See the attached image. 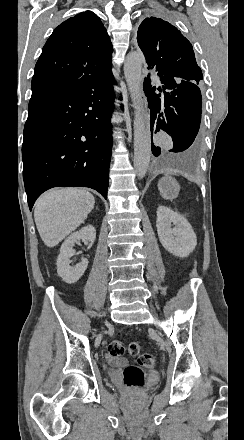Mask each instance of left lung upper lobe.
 <instances>
[{
  "instance_id": "left-lung-upper-lobe-1",
  "label": "left lung upper lobe",
  "mask_w": 244,
  "mask_h": 440,
  "mask_svg": "<svg viewBox=\"0 0 244 440\" xmlns=\"http://www.w3.org/2000/svg\"><path fill=\"white\" fill-rule=\"evenodd\" d=\"M137 41L147 68L158 76L199 84L202 72L193 47L175 26L160 18H146L139 26Z\"/></svg>"
}]
</instances>
